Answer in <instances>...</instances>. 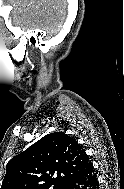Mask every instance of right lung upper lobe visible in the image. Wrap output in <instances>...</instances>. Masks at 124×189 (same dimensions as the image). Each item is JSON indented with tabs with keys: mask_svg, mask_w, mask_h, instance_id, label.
<instances>
[{
	"mask_svg": "<svg viewBox=\"0 0 124 189\" xmlns=\"http://www.w3.org/2000/svg\"><path fill=\"white\" fill-rule=\"evenodd\" d=\"M91 160L85 149L64 132L41 138L7 163L1 189H37L64 185L81 174Z\"/></svg>",
	"mask_w": 124,
	"mask_h": 189,
	"instance_id": "right-lung-upper-lobe-1",
	"label": "right lung upper lobe"
}]
</instances>
